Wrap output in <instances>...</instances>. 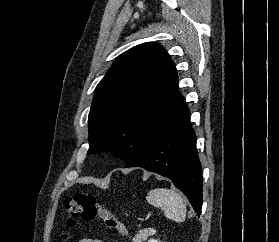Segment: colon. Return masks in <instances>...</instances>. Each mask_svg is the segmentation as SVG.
Masks as SVG:
<instances>
[{
  "mask_svg": "<svg viewBox=\"0 0 279 242\" xmlns=\"http://www.w3.org/2000/svg\"><path fill=\"white\" fill-rule=\"evenodd\" d=\"M65 226L73 228L76 220L100 219L104 225L122 235H128L125 224L117 219L106 207L99 204L92 194L75 193L64 200ZM66 237V235H64Z\"/></svg>",
  "mask_w": 279,
  "mask_h": 242,
  "instance_id": "5ec220e1",
  "label": "colon"
}]
</instances>
